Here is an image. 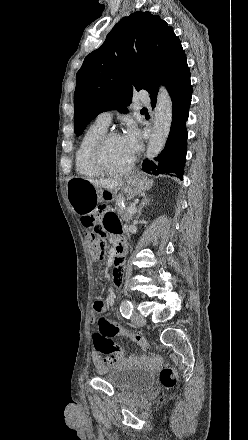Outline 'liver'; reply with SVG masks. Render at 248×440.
<instances>
[{"label": "liver", "mask_w": 248, "mask_h": 440, "mask_svg": "<svg viewBox=\"0 0 248 440\" xmlns=\"http://www.w3.org/2000/svg\"><path fill=\"white\" fill-rule=\"evenodd\" d=\"M94 186L104 189H111L119 184H121V180L115 179V180H89Z\"/></svg>", "instance_id": "obj_1"}]
</instances>
